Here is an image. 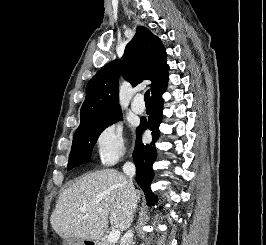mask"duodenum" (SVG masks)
I'll use <instances>...</instances> for the list:
<instances>
[{
    "mask_svg": "<svg viewBox=\"0 0 266 245\" xmlns=\"http://www.w3.org/2000/svg\"><path fill=\"white\" fill-rule=\"evenodd\" d=\"M81 242H89V245H96V237H81Z\"/></svg>",
    "mask_w": 266,
    "mask_h": 245,
    "instance_id": "duodenum-1",
    "label": "duodenum"
}]
</instances>
